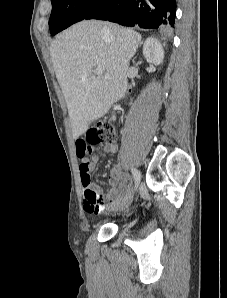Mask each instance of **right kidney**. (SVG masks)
Instances as JSON below:
<instances>
[{"label": "right kidney", "mask_w": 227, "mask_h": 298, "mask_svg": "<svg viewBox=\"0 0 227 298\" xmlns=\"http://www.w3.org/2000/svg\"><path fill=\"white\" fill-rule=\"evenodd\" d=\"M143 55L147 62L160 65L164 60V50L161 43L153 37L146 39L143 45Z\"/></svg>", "instance_id": "right-kidney-1"}]
</instances>
